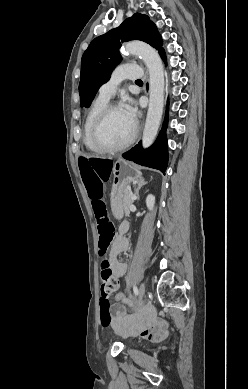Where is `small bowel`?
Listing matches in <instances>:
<instances>
[{
  "label": "small bowel",
  "mask_w": 248,
  "mask_h": 389,
  "mask_svg": "<svg viewBox=\"0 0 248 389\" xmlns=\"http://www.w3.org/2000/svg\"><path fill=\"white\" fill-rule=\"evenodd\" d=\"M127 230L128 224L122 222L119 226V234L113 240L109 253V259L116 278L124 277L128 269L127 263L118 260L119 254L128 251L130 247L129 240L124 236ZM125 305L136 307L139 314L136 320L127 314ZM111 313L112 326L122 335H139L145 339L157 340L166 334L165 324L153 318L147 310L135 306L131 299L113 304Z\"/></svg>",
  "instance_id": "c3829d8e"
}]
</instances>
